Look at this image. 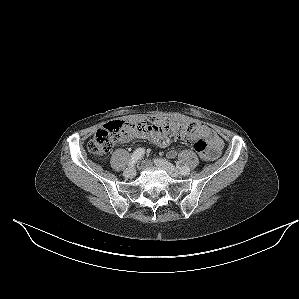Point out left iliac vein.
I'll list each match as a JSON object with an SVG mask.
<instances>
[{"instance_id":"obj_1","label":"left iliac vein","mask_w":299,"mask_h":299,"mask_svg":"<svg viewBox=\"0 0 299 299\" xmlns=\"http://www.w3.org/2000/svg\"><path fill=\"white\" fill-rule=\"evenodd\" d=\"M154 163L162 168L163 170H165L170 176L172 177H179L181 174L180 172L168 161L164 160V159H155Z\"/></svg>"}]
</instances>
